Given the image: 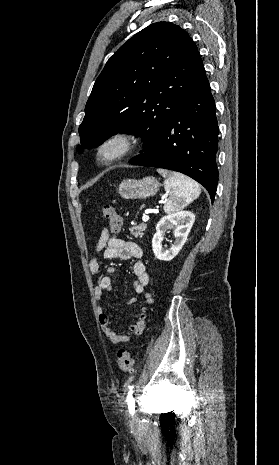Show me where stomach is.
<instances>
[{
    "instance_id": "0dacf381",
    "label": "stomach",
    "mask_w": 279,
    "mask_h": 465,
    "mask_svg": "<svg viewBox=\"0 0 279 465\" xmlns=\"http://www.w3.org/2000/svg\"><path fill=\"white\" fill-rule=\"evenodd\" d=\"M160 187V183L154 177H145L141 180L125 179L118 188L119 194L125 199L147 198L154 196Z\"/></svg>"
}]
</instances>
